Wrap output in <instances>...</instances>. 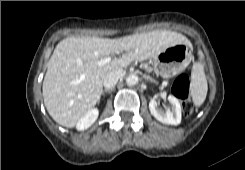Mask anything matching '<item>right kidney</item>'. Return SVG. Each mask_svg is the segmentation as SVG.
Instances as JSON below:
<instances>
[{
    "mask_svg": "<svg viewBox=\"0 0 245 170\" xmlns=\"http://www.w3.org/2000/svg\"><path fill=\"white\" fill-rule=\"evenodd\" d=\"M99 111L97 108L88 111L76 124V128L79 131L89 128L98 118Z\"/></svg>",
    "mask_w": 245,
    "mask_h": 170,
    "instance_id": "obj_1",
    "label": "right kidney"
}]
</instances>
